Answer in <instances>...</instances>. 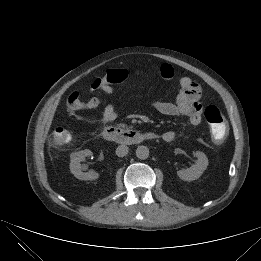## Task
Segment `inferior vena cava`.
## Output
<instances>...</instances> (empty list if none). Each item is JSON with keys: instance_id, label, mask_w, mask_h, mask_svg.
Segmentation results:
<instances>
[{"instance_id": "obj_1", "label": "inferior vena cava", "mask_w": 261, "mask_h": 261, "mask_svg": "<svg viewBox=\"0 0 261 261\" xmlns=\"http://www.w3.org/2000/svg\"><path fill=\"white\" fill-rule=\"evenodd\" d=\"M129 148L126 145H120L116 149V155L118 157H124L128 154Z\"/></svg>"}]
</instances>
